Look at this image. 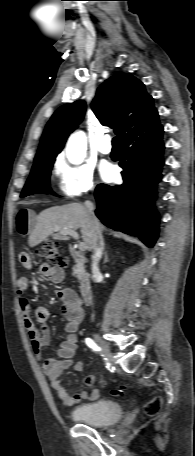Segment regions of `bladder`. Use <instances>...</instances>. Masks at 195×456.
Here are the masks:
<instances>
[{
	"label": "bladder",
	"instance_id": "1",
	"mask_svg": "<svg viewBox=\"0 0 195 456\" xmlns=\"http://www.w3.org/2000/svg\"><path fill=\"white\" fill-rule=\"evenodd\" d=\"M123 414L119 403L111 400H97L75 407L71 411L73 420L93 426L103 427L118 422Z\"/></svg>",
	"mask_w": 195,
	"mask_h": 456
}]
</instances>
